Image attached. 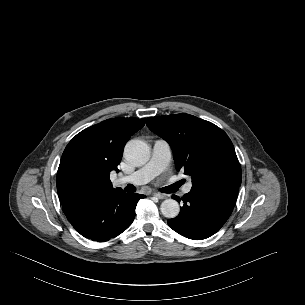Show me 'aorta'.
I'll use <instances>...</instances> for the list:
<instances>
[{"label": "aorta", "mask_w": 305, "mask_h": 305, "mask_svg": "<svg viewBox=\"0 0 305 305\" xmlns=\"http://www.w3.org/2000/svg\"><path fill=\"white\" fill-rule=\"evenodd\" d=\"M125 158L133 165L139 166L145 164L150 158L148 145L141 140H130L124 148ZM161 213L166 218H175L178 216L180 207L177 201L166 199L161 203Z\"/></svg>", "instance_id": "obj_1"}]
</instances>
